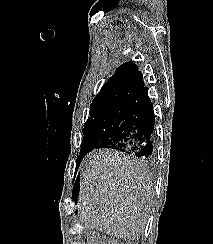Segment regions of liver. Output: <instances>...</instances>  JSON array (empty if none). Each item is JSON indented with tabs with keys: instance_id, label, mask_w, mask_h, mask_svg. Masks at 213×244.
I'll list each match as a JSON object with an SVG mask.
<instances>
[{
	"instance_id": "obj_1",
	"label": "liver",
	"mask_w": 213,
	"mask_h": 244,
	"mask_svg": "<svg viewBox=\"0 0 213 244\" xmlns=\"http://www.w3.org/2000/svg\"><path fill=\"white\" fill-rule=\"evenodd\" d=\"M149 170L128 155L98 150L80 176L78 209L89 229L124 240L142 234L154 203Z\"/></svg>"
}]
</instances>
